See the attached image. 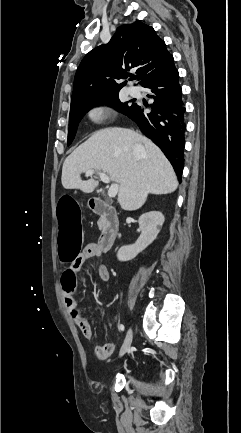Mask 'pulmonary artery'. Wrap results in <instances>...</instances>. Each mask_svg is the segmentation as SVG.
<instances>
[{"instance_id":"pulmonary-artery-1","label":"pulmonary artery","mask_w":241,"mask_h":433,"mask_svg":"<svg viewBox=\"0 0 241 433\" xmlns=\"http://www.w3.org/2000/svg\"><path fill=\"white\" fill-rule=\"evenodd\" d=\"M128 93H129L131 96L136 97V96L139 95V90H138V88H136V87H130V88L128 89Z\"/></svg>"}]
</instances>
